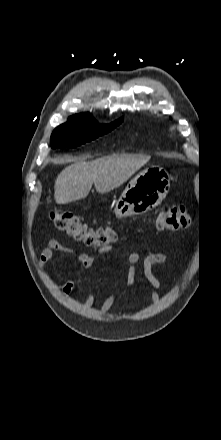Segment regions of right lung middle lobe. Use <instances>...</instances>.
Here are the masks:
<instances>
[{"label": "right lung middle lobe", "mask_w": 221, "mask_h": 440, "mask_svg": "<svg viewBox=\"0 0 221 440\" xmlns=\"http://www.w3.org/2000/svg\"><path fill=\"white\" fill-rule=\"evenodd\" d=\"M122 121L123 119H119L109 125L101 126L95 123L91 114H77L53 131L50 145L53 149L75 148L108 133Z\"/></svg>", "instance_id": "dd1d6c3e"}]
</instances>
